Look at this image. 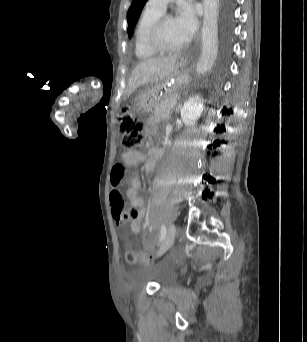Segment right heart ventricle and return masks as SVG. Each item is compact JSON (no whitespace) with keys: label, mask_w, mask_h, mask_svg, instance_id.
<instances>
[{"label":"right heart ventricle","mask_w":307,"mask_h":342,"mask_svg":"<svg viewBox=\"0 0 307 342\" xmlns=\"http://www.w3.org/2000/svg\"><path fill=\"white\" fill-rule=\"evenodd\" d=\"M161 14H158L148 7L141 10L136 26L134 29V54L137 59L141 61H149L157 57L158 54L153 52L147 46V34L152 22L160 17Z\"/></svg>","instance_id":"e07e8e85"}]
</instances>
